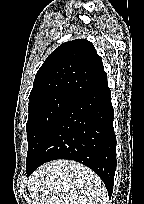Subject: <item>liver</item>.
Listing matches in <instances>:
<instances>
[{"instance_id":"liver-1","label":"liver","mask_w":144,"mask_h":204,"mask_svg":"<svg viewBox=\"0 0 144 204\" xmlns=\"http://www.w3.org/2000/svg\"><path fill=\"white\" fill-rule=\"evenodd\" d=\"M32 204H106L107 191L94 171L68 160L40 166L28 179Z\"/></svg>"}]
</instances>
